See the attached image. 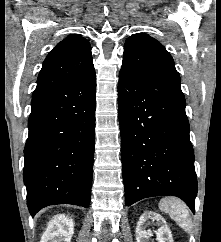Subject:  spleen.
I'll return each mask as SVG.
<instances>
[{"mask_svg":"<svg viewBox=\"0 0 221 242\" xmlns=\"http://www.w3.org/2000/svg\"><path fill=\"white\" fill-rule=\"evenodd\" d=\"M161 211L170 215V217L186 232L192 230V219L187 205L180 199L166 197L159 202Z\"/></svg>","mask_w":221,"mask_h":242,"instance_id":"spleen-1","label":"spleen"}]
</instances>
